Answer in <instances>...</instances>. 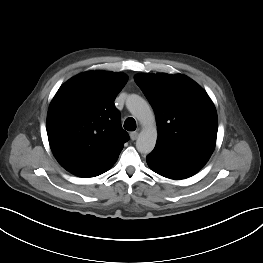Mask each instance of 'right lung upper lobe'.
I'll return each mask as SVG.
<instances>
[{"label":"right lung upper lobe","mask_w":263,"mask_h":263,"mask_svg":"<svg viewBox=\"0 0 263 263\" xmlns=\"http://www.w3.org/2000/svg\"><path fill=\"white\" fill-rule=\"evenodd\" d=\"M127 82L122 73H81L60 87L47 115V134L57 161L79 177L105 172L129 137L114 100Z\"/></svg>","instance_id":"1"}]
</instances>
